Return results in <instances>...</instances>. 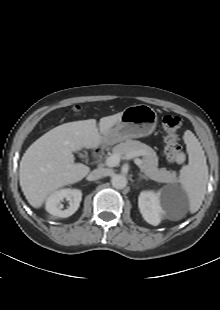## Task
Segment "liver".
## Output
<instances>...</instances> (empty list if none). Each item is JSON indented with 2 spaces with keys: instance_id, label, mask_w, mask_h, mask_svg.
Returning a JSON list of instances; mask_svg holds the SVG:
<instances>
[{
  "instance_id": "obj_1",
  "label": "liver",
  "mask_w": 220,
  "mask_h": 310,
  "mask_svg": "<svg viewBox=\"0 0 220 310\" xmlns=\"http://www.w3.org/2000/svg\"><path fill=\"white\" fill-rule=\"evenodd\" d=\"M121 113L101 118L99 129L95 119L64 123L30 145L20 161L19 180L32 207L40 208L54 191L81 181L89 173L88 166L74 162L72 153L105 142L104 135L116 125Z\"/></svg>"
}]
</instances>
